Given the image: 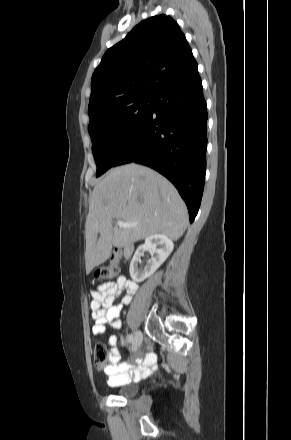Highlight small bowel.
Wrapping results in <instances>:
<instances>
[{
	"label": "small bowel",
	"instance_id": "obj_1",
	"mask_svg": "<svg viewBox=\"0 0 291 440\" xmlns=\"http://www.w3.org/2000/svg\"><path fill=\"white\" fill-rule=\"evenodd\" d=\"M122 289L126 294L118 305L113 301ZM137 290L135 282L120 276L115 282H105L91 289V315L94 319L92 332L94 335H109V362L104 368L110 386H119L126 382L147 376L155 369L153 355L136 358L134 362L122 363L117 338L110 331L121 327L119 315L123 307L129 305ZM124 343V340H121Z\"/></svg>",
	"mask_w": 291,
	"mask_h": 440
}]
</instances>
